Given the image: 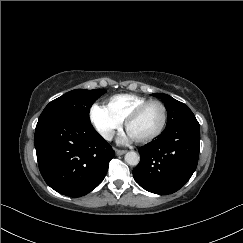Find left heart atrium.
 <instances>
[{
	"label": "left heart atrium",
	"instance_id": "left-heart-atrium-1",
	"mask_svg": "<svg viewBox=\"0 0 243 243\" xmlns=\"http://www.w3.org/2000/svg\"><path fill=\"white\" fill-rule=\"evenodd\" d=\"M130 140H133V137L129 134V132L126 135H123L121 138H119L120 143H125Z\"/></svg>",
	"mask_w": 243,
	"mask_h": 243
}]
</instances>
